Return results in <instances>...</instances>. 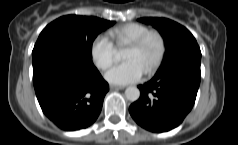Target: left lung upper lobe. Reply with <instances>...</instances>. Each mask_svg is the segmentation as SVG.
<instances>
[{
  "mask_svg": "<svg viewBox=\"0 0 238 145\" xmlns=\"http://www.w3.org/2000/svg\"><path fill=\"white\" fill-rule=\"evenodd\" d=\"M151 24L165 39L166 54L158 71L167 70L190 60H201V51L194 36L184 26L166 18H141Z\"/></svg>",
  "mask_w": 238,
  "mask_h": 145,
  "instance_id": "obj_1",
  "label": "left lung upper lobe"
}]
</instances>
